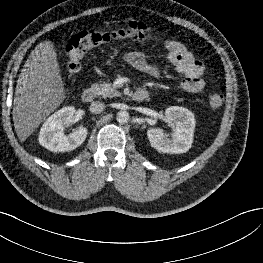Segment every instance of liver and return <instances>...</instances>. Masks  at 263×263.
I'll return each instance as SVG.
<instances>
[{
    "label": "liver",
    "instance_id": "obj_1",
    "mask_svg": "<svg viewBox=\"0 0 263 263\" xmlns=\"http://www.w3.org/2000/svg\"><path fill=\"white\" fill-rule=\"evenodd\" d=\"M64 98L54 44L41 42L30 53L15 89L13 121L20 141H25Z\"/></svg>",
    "mask_w": 263,
    "mask_h": 263
}]
</instances>
